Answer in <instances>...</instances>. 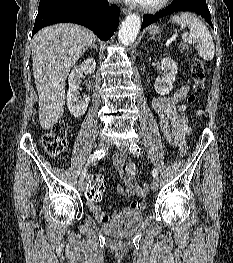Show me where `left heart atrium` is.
Masks as SVG:
<instances>
[{"instance_id": "1", "label": "left heart atrium", "mask_w": 233, "mask_h": 263, "mask_svg": "<svg viewBox=\"0 0 233 263\" xmlns=\"http://www.w3.org/2000/svg\"><path fill=\"white\" fill-rule=\"evenodd\" d=\"M129 3H134V4H141L143 0H126Z\"/></svg>"}]
</instances>
